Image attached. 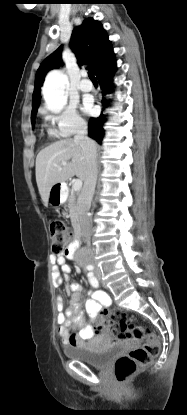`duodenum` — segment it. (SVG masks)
Returning <instances> with one entry per match:
<instances>
[{
    "mask_svg": "<svg viewBox=\"0 0 187 415\" xmlns=\"http://www.w3.org/2000/svg\"><path fill=\"white\" fill-rule=\"evenodd\" d=\"M81 239V230L78 225L75 226V242L73 243L72 247L69 249V256H72L79 241Z\"/></svg>",
    "mask_w": 187,
    "mask_h": 415,
    "instance_id": "410a0bca",
    "label": "duodenum"
}]
</instances>
